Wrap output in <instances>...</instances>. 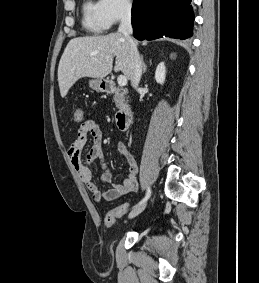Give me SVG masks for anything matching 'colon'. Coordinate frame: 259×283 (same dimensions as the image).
Returning <instances> with one entry per match:
<instances>
[{
    "label": "colon",
    "mask_w": 259,
    "mask_h": 283,
    "mask_svg": "<svg viewBox=\"0 0 259 283\" xmlns=\"http://www.w3.org/2000/svg\"><path fill=\"white\" fill-rule=\"evenodd\" d=\"M73 119L76 123H82L85 120L84 111L80 106L73 108ZM129 209V204H121L115 209L110 210L105 215V224L111 226L115 223L116 219L125 214Z\"/></svg>",
    "instance_id": "colon-1"
}]
</instances>
